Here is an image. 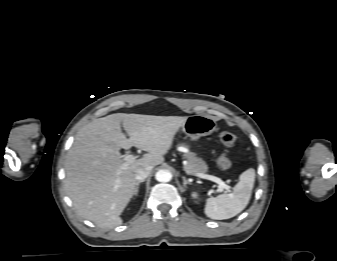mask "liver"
I'll list each match as a JSON object with an SVG mask.
<instances>
[{
    "instance_id": "1",
    "label": "liver",
    "mask_w": 337,
    "mask_h": 261,
    "mask_svg": "<svg viewBox=\"0 0 337 261\" xmlns=\"http://www.w3.org/2000/svg\"><path fill=\"white\" fill-rule=\"evenodd\" d=\"M187 118L115 113L83 126L65 161L64 187L76 212L101 228L121 225L120 215L135 195L136 170L164 162ZM132 146L148 153L121 169L120 149Z\"/></svg>"
}]
</instances>
